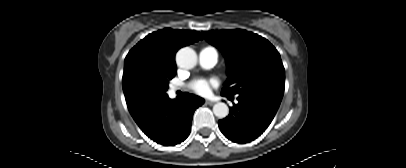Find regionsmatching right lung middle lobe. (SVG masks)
I'll return each instance as SVG.
<instances>
[{"label": "right lung middle lobe", "instance_id": "obj_1", "mask_svg": "<svg viewBox=\"0 0 406 168\" xmlns=\"http://www.w3.org/2000/svg\"><path fill=\"white\" fill-rule=\"evenodd\" d=\"M175 74L161 75L149 71L139 72L131 85V97L134 106L139 109L150 106L168 97L169 80Z\"/></svg>", "mask_w": 406, "mask_h": 168}]
</instances>
